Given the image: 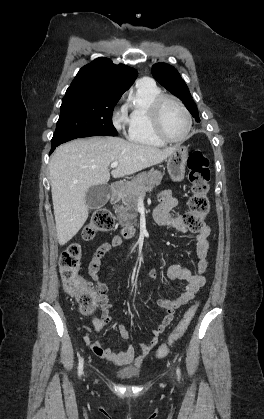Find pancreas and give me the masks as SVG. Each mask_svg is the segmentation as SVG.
Returning <instances> with one entry per match:
<instances>
[{
    "instance_id": "cf45deb5",
    "label": "pancreas",
    "mask_w": 264,
    "mask_h": 419,
    "mask_svg": "<svg viewBox=\"0 0 264 419\" xmlns=\"http://www.w3.org/2000/svg\"><path fill=\"white\" fill-rule=\"evenodd\" d=\"M164 173L151 169L136 175L123 189L120 199L121 205H115L114 210L122 226L130 227L135 224L139 199L145 197L146 192H151L155 186L160 185Z\"/></svg>"
}]
</instances>
